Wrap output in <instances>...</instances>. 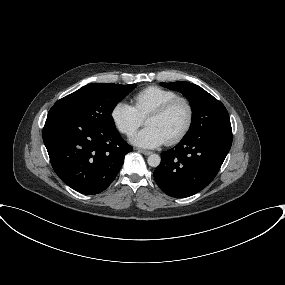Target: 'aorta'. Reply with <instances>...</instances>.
Listing matches in <instances>:
<instances>
[{"label": "aorta", "mask_w": 285, "mask_h": 285, "mask_svg": "<svg viewBox=\"0 0 285 285\" xmlns=\"http://www.w3.org/2000/svg\"><path fill=\"white\" fill-rule=\"evenodd\" d=\"M147 162H148L149 166L157 167V166H159V164L161 162V158L158 154H151V155H149Z\"/></svg>", "instance_id": "obj_1"}]
</instances>
